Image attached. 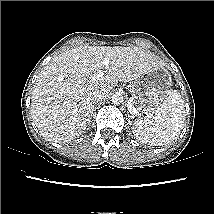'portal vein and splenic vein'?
<instances>
[{"label":"portal vein and splenic vein","instance_id":"1","mask_svg":"<svg viewBox=\"0 0 214 214\" xmlns=\"http://www.w3.org/2000/svg\"><path fill=\"white\" fill-rule=\"evenodd\" d=\"M109 64H110V61H109V59H104V61H103V65H104V67H105V69H107L108 67H109ZM104 70H100V71H98V72H96L93 76H92V80H97V79H99V78H101L103 75H104ZM130 107V106H129Z\"/></svg>","mask_w":214,"mask_h":214}]
</instances>
